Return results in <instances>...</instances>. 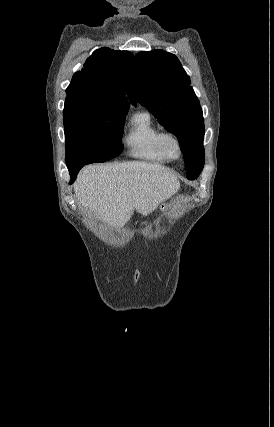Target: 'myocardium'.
I'll return each instance as SVG.
<instances>
[{
	"label": "myocardium",
	"mask_w": 274,
	"mask_h": 427,
	"mask_svg": "<svg viewBox=\"0 0 274 427\" xmlns=\"http://www.w3.org/2000/svg\"><path fill=\"white\" fill-rule=\"evenodd\" d=\"M168 139H171L176 143L178 150H179V154L177 157L170 155V153L168 152L167 147H166V142ZM158 144H159V147H160L162 154L164 155V157L167 160L179 161L183 158V156H184V145H183L181 138L175 132H173V131L161 132L159 134Z\"/></svg>",
	"instance_id": "myocardium-1"
}]
</instances>
